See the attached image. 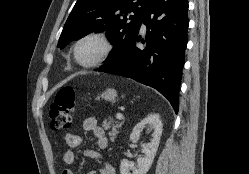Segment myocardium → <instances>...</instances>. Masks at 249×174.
Masks as SVG:
<instances>
[{"label": "myocardium", "instance_id": "f54148a6", "mask_svg": "<svg viewBox=\"0 0 249 174\" xmlns=\"http://www.w3.org/2000/svg\"><path fill=\"white\" fill-rule=\"evenodd\" d=\"M87 40H96V41H98L102 45V52L94 60L84 62L79 58L78 49H79V46L83 42H85ZM113 49H114V45H113L111 39L109 38V36L105 32L91 31V32H88V33L84 34L83 36H81L75 42L74 47H73V56H74L75 61L80 66L86 67V68H91V67L99 66L100 64L105 62L110 57V55L112 54Z\"/></svg>", "mask_w": 249, "mask_h": 174}]
</instances>
